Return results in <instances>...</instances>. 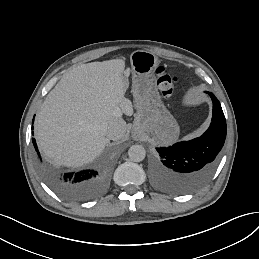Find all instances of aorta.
Returning <instances> with one entry per match:
<instances>
[{
    "label": "aorta",
    "mask_w": 259,
    "mask_h": 259,
    "mask_svg": "<svg viewBox=\"0 0 259 259\" xmlns=\"http://www.w3.org/2000/svg\"><path fill=\"white\" fill-rule=\"evenodd\" d=\"M128 155L131 161L141 162L146 156L145 148L142 145H132L128 150Z\"/></svg>",
    "instance_id": "762f6f07"
}]
</instances>
